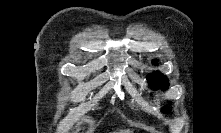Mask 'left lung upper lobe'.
Returning a JSON list of instances; mask_svg holds the SVG:
<instances>
[{
  "label": "left lung upper lobe",
  "mask_w": 221,
  "mask_h": 133,
  "mask_svg": "<svg viewBox=\"0 0 221 133\" xmlns=\"http://www.w3.org/2000/svg\"><path fill=\"white\" fill-rule=\"evenodd\" d=\"M147 80L156 89L157 88H165L168 86L167 78L162 74L154 73L152 75H149L147 77Z\"/></svg>",
  "instance_id": "obj_1"
}]
</instances>
